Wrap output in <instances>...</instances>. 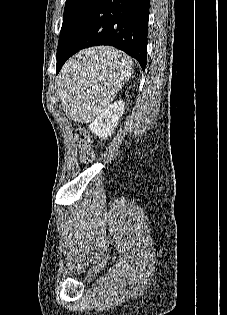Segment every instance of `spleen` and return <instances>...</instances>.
<instances>
[{
	"label": "spleen",
	"instance_id": "3e777b00",
	"mask_svg": "<svg viewBox=\"0 0 227 315\" xmlns=\"http://www.w3.org/2000/svg\"><path fill=\"white\" fill-rule=\"evenodd\" d=\"M132 73V59L102 47L78 53L59 76V98L75 121L90 122L106 109Z\"/></svg>",
	"mask_w": 227,
	"mask_h": 315
}]
</instances>
